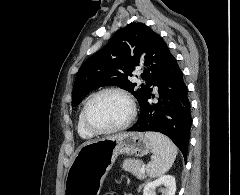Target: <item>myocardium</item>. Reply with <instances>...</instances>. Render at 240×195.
I'll list each match as a JSON object with an SVG mask.
<instances>
[{
  "label": "myocardium",
  "mask_w": 240,
  "mask_h": 195,
  "mask_svg": "<svg viewBox=\"0 0 240 195\" xmlns=\"http://www.w3.org/2000/svg\"><path fill=\"white\" fill-rule=\"evenodd\" d=\"M107 93H116V94H120L123 97H125L130 105V115L124 123H122L118 126L106 128V129L96 128L89 121V109H90L92 103L97 98H99L100 96L107 94ZM136 115H137V108H136L135 101H134L133 97L131 96V94L124 89L110 87V88H105V89H102V90L96 92L89 98V100L87 101V103L85 104V106L83 108V124H84L85 128L88 131H90L93 135H109V134L122 132V131L128 129L132 125V123L135 121Z\"/></svg>",
  "instance_id": "myocardium-1"
}]
</instances>
